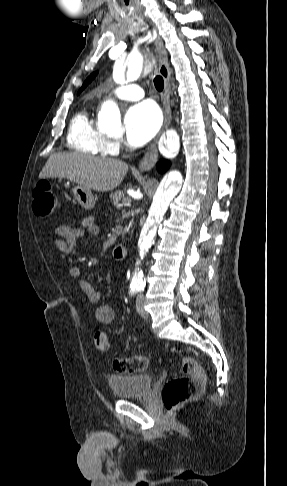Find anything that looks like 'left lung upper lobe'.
<instances>
[{
	"mask_svg": "<svg viewBox=\"0 0 287 486\" xmlns=\"http://www.w3.org/2000/svg\"><path fill=\"white\" fill-rule=\"evenodd\" d=\"M97 75V72L91 74L84 82V84L82 85V88L79 90L78 94L95 78V76Z\"/></svg>",
	"mask_w": 287,
	"mask_h": 486,
	"instance_id": "1",
	"label": "left lung upper lobe"
}]
</instances>
